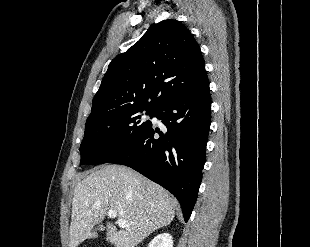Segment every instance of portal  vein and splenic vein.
I'll use <instances>...</instances> for the list:
<instances>
[{"mask_svg":"<svg viewBox=\"0 0 310 247\" xmlns=\"http://www.w3.org/2000/svg\"><path fill=\"white\" fill-rule=\"evenodd\" d=\"M107 215H108L109 218H116L117 217V213L114 210H109L107 212ZM116 223L121 228H125L126 227V221L123 220V219H118Z\"/></svg>","mask_w":310,"mask_h":247,"instance_id":"1","label":"portal vein and splenic vein"}]
</instances>
